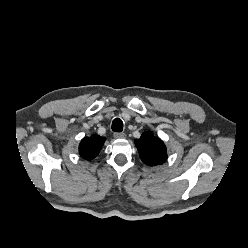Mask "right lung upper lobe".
Wrapping results in <instances>:
<instances>
[{"instance_id":"cb5924a9","label":"right lung upper lobe","mask_w":248,"mask_h":248,"mask_svg":"<svg viewBox=\"0 0 248 248\" xmlns=\"http://www.w3.org/2000/svg\"><path fill=\"white\" fill-rule=\"evenodd\" d=\"M105 140L104 137L98 135L85 137L79 145V153L81 157L88 161L95 158L99 154Z\"/></svg>"}]
</instances>
